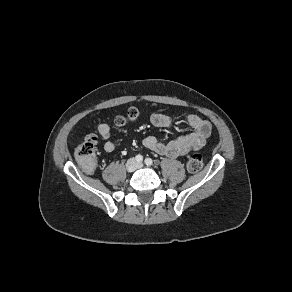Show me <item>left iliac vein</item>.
Returning <instances> with one entry per match:
<instances>
[{
  "label": "left iliac vein",
  "mask_w": 292,
  "mask_h": 292,
  "mask_svg": "<svg viewBox=\"0 0 292 292\" xmlns=\"http://www.w3.org/2000/svg\"><path fill=\"white\" fill-rule=\"evenodd\" d=\"M137 167H138V168H142V167H143V163H138V164H137Z\"/></svg>",
  "instance_id": "4c4485c4"
}]
</instances>
